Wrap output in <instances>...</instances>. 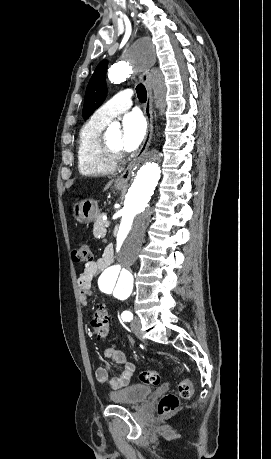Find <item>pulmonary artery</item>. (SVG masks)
<instances>
[{
    "mask_svg": "<svg viewBox=\"0 0 271 459\" xmlns=\"http://www.w3.org/2000/svg\"><path fill=\"white\" fill-rule=\"evenodd\" d=\"M131 96L130 89H121L118 95H113V98L104 103L93 116L100 122L108 123L116 115L134 107L135 100L130 98Z\"/></svg>",
    "mask_w": 271,
    "mask_h": 459,
    "instance_id": "obj_1",
    "label": "pulmonary artery"
}]
</instances>
